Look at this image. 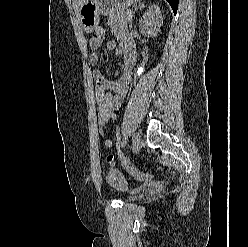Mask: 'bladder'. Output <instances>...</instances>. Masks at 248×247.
I'll list each match as a JSON object with an SVG mask.
<instances>
[{"label": "bladder", "mask_w": 248, "mask_h": 247, "mask_svg": "<svg viewBox=\"0 0 248 247\" xmlns=\"http://www.w3.org/2000/svg\"><path fill=\"white\" fill-rule=\"evenodd\" d=\"M108 183L112 190H114L115 192L123 193L128 198L139 193V190L137 188H133L129 185L127 178L120 171L110 172L108 175Z\"/></svg>", "instance_id": "31cf9c89"}]
</instances>
